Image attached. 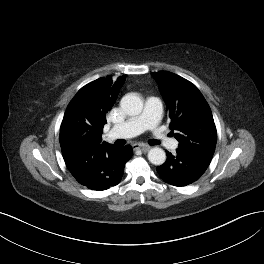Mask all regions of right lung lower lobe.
<instances>
[{"label":"right lung lower lobe","instance_id":"obj_1","mask_svg":"<svg viewBox=\"0 0 264 264\" xmlns=\"http://www.w3.org/2000/svg\"><path fill=\"white\" fill-rule=\"evenodd\" d=\"M62 155L69 171L80 184L102 191L121 181L132 151L129 146L116 147L103 142L66 149Z\"/></svg>","mask_w":264,"mask_h":264}]
</instances>
